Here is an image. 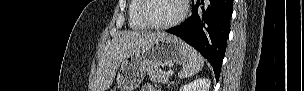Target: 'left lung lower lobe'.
<instances>
[{
    "instance_id": "obj_1",
    "label": "left lung lower lobe",
    "mask_w": 304,
    "mask_h": 91,
    "mask_svg": "<svg viewBox=\"0 0 304 91\" xmlns=\"http://www.w3.org/2000/svg\"><path fill=\"white\" fill-rule=\"evenodd\" d=\"M233 0H192V14L174 34L198 50L212 65L219 79L230 31Z\"/></svg>"
}]
</instances>
